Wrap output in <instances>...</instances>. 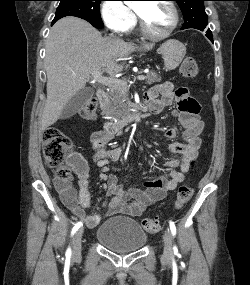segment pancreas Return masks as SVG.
<instances>
[{
    "mask_svg": "<svg viewBox=\"0 0 250 285\" xmlns=\"http://www.w3.org/2000/svg\"><path fill=\"white\" fill-rule=\"evenodd\" d=\"M145 77L148 85L161 81V76L154 71L148 72ZM126 92L125 87H110L109 97L101 105L103 114L115 119L128 115L130 108L126 103Z\"/></svg>",
    "mask_w": 250,
    "mask_h": 285,
    "instance_id": "pancreas-1",
    "label": "pancreas"
}]
</instances>
